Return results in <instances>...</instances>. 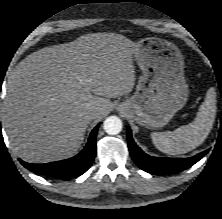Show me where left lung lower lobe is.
Returning a JSON list of instances; mask_svg holds the SVG:
<instances>
[{
  "mask_svg": "<svg viewBox=\"0 0 222 219\" xmlns=\"http://www.w3.org/2000/svg\"><path fill=\"white\" fill-rule=\"evenodd\" d=\"M128 148L132 159L136 165L142 170L151 174H167V173H177L188 169L196 162H198L208 150L201 152L190 158H161L152 157L144 153L134 142L131 130L128 128Z\"/></svg>",
  "mask_w": 222,
  "mask_h": 219,
  "instance_id": "obj_1",
  "label": "left lung lower lobe"
}]
</instances>
